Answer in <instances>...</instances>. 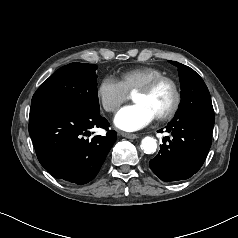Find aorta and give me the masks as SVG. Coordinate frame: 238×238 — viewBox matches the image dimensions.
Wrapping results in <instances>:
<instances>
[{
    "mask_svg": "<svg viewBox=\"0 0 238 238\" xmlns=\"http://www.w3.org/2000/svg\"><path fill=\"white\" fill-rule=\"evenodd\" d=\"M141 149L146 154H153L157 149L156 140L153 137H144L141 141Z\"/></svg>",
    "mask_w": 238,
    "mask_h": 238,
    "instance_id": "obj_1",
    "label": "aorta"
}]
</instances>
